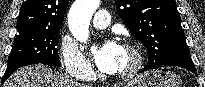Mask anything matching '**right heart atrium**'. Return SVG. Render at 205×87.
Returning a JSON list of instances; mask_svg holds the SVG:
<instances>
[{"instance_id": "1", "label": "right heart atrium", "mask_w": 205, "mask_h": 87, "mask_svg": "<svg viewBox=\"0 0 205 87\" xmlns=\"http://www.w3.org/2000/svg\"><path fill=\"white\" fill-rule=\"evenodd\" d=\"M62 66L73 78H90L94 71L92 65L78 44L69 37H62L59 44Z\"/></svg>"}]
</instances>
